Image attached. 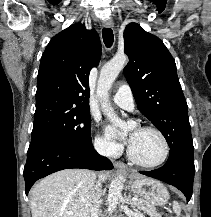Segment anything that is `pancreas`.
I'll list each match as a JSON object with an SVG mask.
<instances>
[{
	"label": "pancreas",
	"mask_w": 211,
	"mask_h": 217,
	"mask_svg": "<svg viewBox=\"0 0 211 217\" xmlns=\"http://www.w3.org/2000/svg\"><path fill=\"white\" fill-rule=\"evenodd\" d=\"M134 205L137 209L144 211L151 217H161L156 207L144 199H139L137 202H134Z\"/></svg>",
	"instance_id": "pancreas-1"
}]
</instances>
